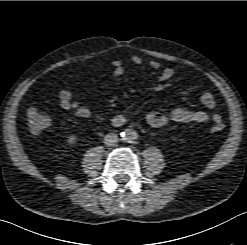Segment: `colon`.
I'll list each match as a JSON object with an SVG mask.
<instances>
[{"mask_svg":"<svg viewBox=\"0 0 247 245\" xmlns=\"http://www.w3.org/2000/svg\"><path fill=\"white\" fill-rule=\"evenodd\" d=\"M28 127L31 133L39 134L50 124L49 117L38 108H30L27 111ZM224 123L219 120L214 122L211 130L213 133H220L224 130Z\"/></svg>","mask_w":247,"mask_h":245,"instance_id":"1","label":"colon"}]
</instances>
